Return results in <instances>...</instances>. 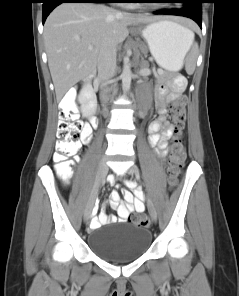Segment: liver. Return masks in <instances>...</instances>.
<instances>
[{"label": "liver", "instance_id": "6515ba94", "mask_svg": "<svg viewBox=\"0 0 239 296\" xmlns=\"http://www.w3.org/2000/svg\"><path fill=\"white\" fill-rule=\"evenodd\" d=\"M159 19L95 3H63L55 8L43 36L57 99L96 71L101 51L122 43L129 35L128 26Z\"/></svg>", "mask_w": 239, "mask_h": 296}]
</instances>
